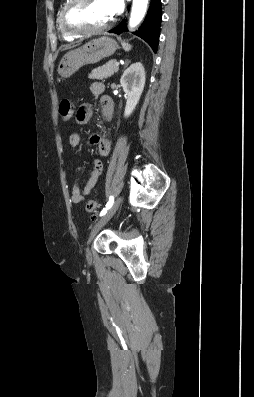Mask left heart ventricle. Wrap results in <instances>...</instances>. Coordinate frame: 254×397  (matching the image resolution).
Returning <instances> with one entry per match:
<instances>
[{
	"label": "left heart ventricle",
	"mask_w": 254,
	"mask_h": 397,
	"mask_svg": "<svg viewBox=\"0 0 254 397\" xmlns=\"http://www.w3.org/2000/svg\"><path fill=\"white\" fill-rule=\"evenodd\" d=\"M103 0H90L84 5L75 7L69 14L70 24L80 27H99L111 20Z\"/></svg>",
	"instance_id": "obj_1"
}]
</instances>
